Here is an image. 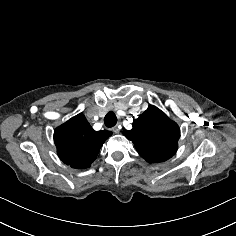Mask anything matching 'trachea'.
<instances>
[{"mask_svg":"<svg viewBox=\"0 0 236 236\" xmlns=\"http://www.w3.org/2000/svg\"><path fill=\"white\" fill-rule=\"evenodd\" d=\"M116 123L117 116L115 115V113L113 111L108 112L104 118V124L106 125V127L111 128L115 126Z\"/></svg>","mask_w":236,"mask_h":236,"instance_id":"obj_1","label":"trachea"}]
</instances>
